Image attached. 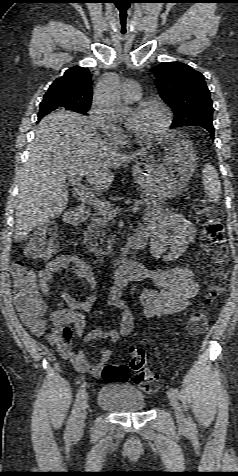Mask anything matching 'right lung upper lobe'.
Masks as SVG:
<instances>
[{
  "instance_id": "obj_1",
  "label": "right lung upper lobe",
  "mask_w": 238,
  "mask_h": 476,
  "mask_svg": "<svg viewBox=\"0 0 238 476\" xmlns=\"http://www.w3.org/2000/svg\"><path fill=\"white\" fill-rule=\"evenodd\" d=\"M91 101V73L88 68L80 66L69 68L62 77L57 78L42 100L55 104L61 110L70 111L83 106L90 107Z\"/></svg>"
}]
</instances>
